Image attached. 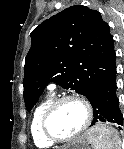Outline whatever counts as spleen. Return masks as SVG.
I'll return each instance as SVG.
<instances>
[{
    "label": "spleen",
    "mask_w": 124,
    "mask_h": 149,
    "mask_svg": "<svg viewBox=\"0 0 124 149\" xmlns=\"http://www.w3.org/2000/svg\"><path fill=\"white\" fill-rule=\"evenodd\" d=\"M90 142L93 149H120L121 145L117 131L105 125L96 128V133L90 137Z\"/></svg>",
    "instance_id": "obj_1"
}]
</instances>
